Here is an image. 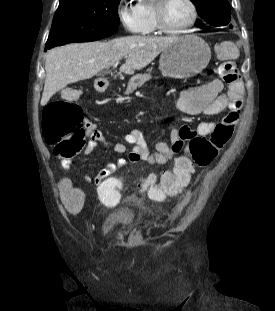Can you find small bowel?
<instances>
[{"label":"small bowel","instance_id":"c3829d8e","mask_svg":"<svg viewBox=\"0 0 275 311\" xmlns=\"http://www.w3.org/2000/svg\"><path fill=\"white\" fill-rule=\"evenodd\" d=\"M219 51L220 53H226L231 59L239 57L237 47L231 42L223 43ZM227 87V93L221 94L223 83L218 79H214L205 84L189 88L182 93L178 101V108L186 114L206 116L216 115L227 109L228 112H223V119H235L236 121L239 117L243 99V84L237 74L234 80L227 83ZM216 126L217 124L214 122L202 121L195 127L187 125L173 127L170 132V142H156L153 151L150 150L143 133L140 130H132L124 137L126 143L134 146L129 159L134 162L144 161L150 165H163L182 150L185 142L191 136H206ZM87 130L90 138L86 149L83 151L85 156L92 154L99 146L110 148L118 154L126 153L127 148L124 143L112 142L106 139L95 124H88ZM125 164L126 160L124 158H117L108 162L100 169L94 182L96 184L102 183L103 178H108L109 175L115 173ZM62 165L65 169H69L71 162L63 160ZM86 180L90 181L88 177H86ZM59 188L63 190L64 194H61L60 199L63 201V206L69 216H80L81 213L85 212L82 187H74L69 179H64Z\"/></svg>","mask_w":275,"mask_h":311}]
</instances>
